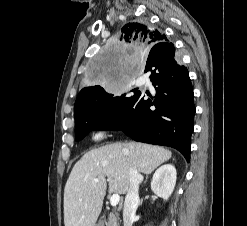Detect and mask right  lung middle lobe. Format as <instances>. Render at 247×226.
<instances>
[{"label":"right lung middle lobe","instance_id":"dd1d6c3e","mask_svg":"<svg viewBox=\"0 0 247 226\" xmlns=\"http://www.w3.org/2000/svg\"><path fill=\"white\" fill-rule=\"evenodd\" d=\"M91 96L74 107L76 141L84 138L91 130H97L110 114L118 110L127 100L126 94H112L99 85Z\"/></svg>","mask_w":247,"mask_h":226}]
</instances>
